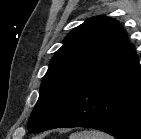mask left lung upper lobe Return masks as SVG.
<instances>
[{
    "mask_svg": "<svg viewBox=\"0 0 141 139\" xmlns=\"http://www.w3.org/2000/svg\"><path fill=\"white\" fill-rule=\"evenodd\" d=\"M53 56L28 127L40 132L70 95L98 68L129 44L115 19L99 16L71 31Z\"/></svg>",
    "mask_w": 141,
    "mask_h": 139,
    "instance_id": "5c2ea615",
    "label": "left lung upper lobe"
}]
</instances>
